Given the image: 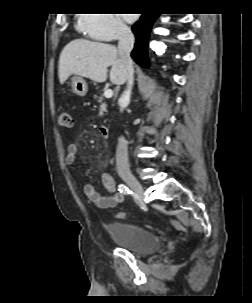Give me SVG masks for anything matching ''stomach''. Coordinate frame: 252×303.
<instances>
[{
	"mask_svg": "<svg viewBox=\"0 0 252 303\" xmlns=\"http://www.w3.org/2000/svg\"><path fill=\"white\" fill-rule=\"evenodd\" d=\"M70 84H71L72 90L75 94H77L79 96L86 95V93L88 91V85L83 78H81L79 76H73L70 79Z\"/></svg>",
	"mask_w": 252,
	"mask_h": 303,
	"instance_id": "obj_1",
	"label": "stomach"
}]
</instances>
